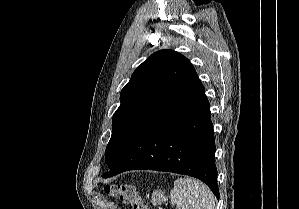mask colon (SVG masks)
<instances>
[{
    "label": "colon",
    "mask_w": 299,
    "mask_h": 209,
    "mask_svg": "<svg viewBox=\"0 0 299 209\" xmlns=\"http://www.w3.org/2000/svg\"><path fill=\"white\" fill-rule=\"evenodd\" d=\"M104 192L122 202L131 203L132 209H148L146 204L140 199L137 189L133 184L120 183L106 185Z\"/></svg>",
    "instance_id": "5ec220e1"
}]
</instances>
